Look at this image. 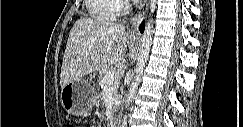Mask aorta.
I'll return each instance as SVG.
<instances>
[{"mask_svg": "<svg viewBox=\"0 0 243 127\" xmlns=\"http://www.w3.org/2000/svg\"><path fill=\"white\" fill-rule=\"evenodd\" d=\"M152 40H153V19H150L147 22L144 33L142 35V44L140 46L139 57H138L137 64H136L135 77L131 84V87H130V90H129V93H128V96L126 99L125 109H127V107L132 102V99L140 84L141 75L144 71L145 64L148 59Z\"/></svg>", "mask_w": 243, "mask_h": 127, "instance_id": "obj_1", "label": "aorta"}]
</instances>
